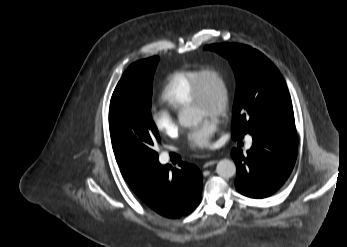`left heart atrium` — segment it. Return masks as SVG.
<instances>
[{"label": "left heart atrium", "instance_id": "obj_1", "mask_svg": "<svg viewBox=\"0 0 347 247\" xmlns=\"http://www.w3.org/2000/svg\"><path fill=\"white\" fill-rule=\"evenodd\" d=\"M219 129L217 120L208 116L195 127H193L187 136L190 147L195 149H205L211 146L213 136Z\"/></svg>", "mask_w": 347, "mask_h": 247}]
</instances>
